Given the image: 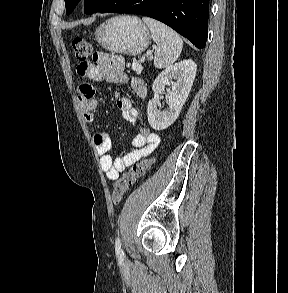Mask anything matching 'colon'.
<instances>
[{"label":"colon","mask_w":288,"mask_h":293,"mask_svg":"<svg viewBox=\"0 0 288 293\" xmlns=\"http://www.w3.org/2000/svg\"><path fill=\"white\" fill-rule=\"evenodd\" d=\"M72 46L77 60L81 63H87L93 52L92 44L83 38H75L72 42ZM155 161L156 157L142 160L133 165L128 172L116 181L112 192V201L114 204H119L122 201L128 189L151 169Z\"/></svg>","instance_id":"obj_1"}]
</instances>
